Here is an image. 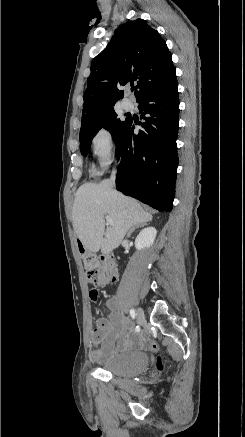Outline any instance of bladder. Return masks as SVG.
<instances>
[{"mask_svg":"<svg viewBox=\"0 0 245 437\" xmlns=\"http://www.w3.org/2000/svg\"><path fill=\"white\" fill-rule=\"evenodd\" d=\"M148 364V355L143 351H119L114 357L102 364L106 372L123 378H130L145 370Z\"/></svg>","mask_w":245,"mask_h":437,"instance_id":"1","label":"bladder"}]
</instances>
